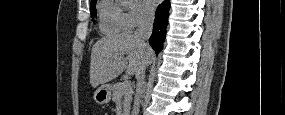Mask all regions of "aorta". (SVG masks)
<instances>
[{"label": "aorta", "mask_w": 285, "mask_h": 115, "mask_svg": "<svg viewBox=\"0 0 285 115\" xmlns=\"http://www.w3.org/2000/svg\"><path fill=\"white\" fill-rule=\"evenodd\" d=\"M125 2H127V3H131V2H133V0H126Z\"/></svg>", "instance_id": "obj_1"}]
</instances>
